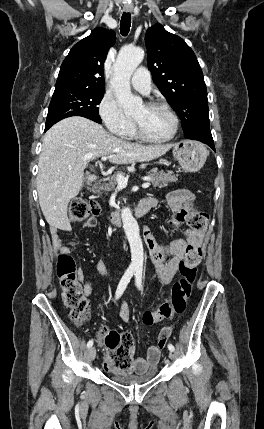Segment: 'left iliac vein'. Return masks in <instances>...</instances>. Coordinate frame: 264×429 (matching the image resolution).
<instances>
[{
  "label": "left iliac vein",
  "mask_w": 264,
  "mask_h": 429,
  "mask_svg": "<svg viewBox=\"0 0 264 429\" xmlns=\"http://www.w3.org/2000/svg\"><path fill=\"white\" fill-rule=\"evenodd\" d=\"M169 358H170L171 360H173V359H174V354H173V352H172V351H170V352H169Z\"/></svg>",
  "instance_id": "4c4485c4"
}]
</instances>
